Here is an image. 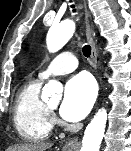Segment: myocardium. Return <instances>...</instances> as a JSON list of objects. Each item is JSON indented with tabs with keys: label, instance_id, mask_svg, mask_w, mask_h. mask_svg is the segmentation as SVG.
Listing matches in <instances>:
<instances>
[{
	"label": "myocardium",
	"instance_id": "1",
	"mask_svg": "<svg viewBox=\"0 0 131 151\" xmlns=\"http://www.w3.org/2000/svg\"><path fill=\"white\" fill-rule=\"evenodd\" d=\"M48 108H49L50 111H53V110H54V108L51 107V106H48Z\"/></svg>",
	"mask_w": 131,
	"mask_h": 151
}]
</instances>
